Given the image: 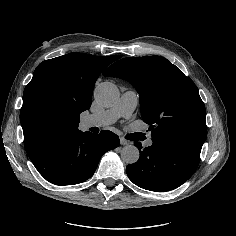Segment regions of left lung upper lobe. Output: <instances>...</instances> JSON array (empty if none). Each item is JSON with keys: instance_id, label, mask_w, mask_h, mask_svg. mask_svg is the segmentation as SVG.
Returning a JSON list of instances; mask_svg holds the SVG:
<instances>
[{"instance_id": "obj_1", "label": "left lung upper lobe", "mask_w": 236, "mask_h": 236, "mask_svg": "<svg viewBox=\"0 0 236 236\" xmlns=\"http://www.w3.org/2000/svg\"><path fill=\"white\" fill-rule=\"evenodd\" d=\"M129 81L140 94L142 119L152 138L201 152L206 140L205 106L194 82L161 56L128 57L104 73Z\"/></svg>"}]
</instances>
